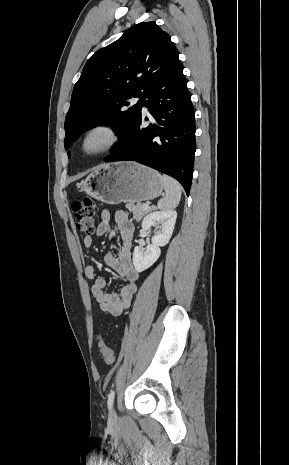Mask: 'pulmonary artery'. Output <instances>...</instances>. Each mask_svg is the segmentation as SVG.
<instances>
[{
  "label": "pulmonary artery",
  "mask_w": 289,
  "mask_h": 465,
  "mask_svg": "<svg viewBox=\"0 0 289 465\" xmlns=\"http://www.w3.org/2000/svg\"><path fill=\"white\" fill-rule=\"evenodd\" d=\"M138 100H139V98H136V99H135V101H138ZM143 108H144V110H146V107H145V106H144Z\"/></svg>",
  "instance_id": "e3ab8cb5"
}]
</instances>
